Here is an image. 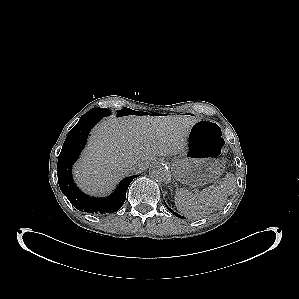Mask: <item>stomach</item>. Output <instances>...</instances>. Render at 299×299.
I'll return each mask as SVG.
<instances>
[{
    "label": "stomach",
    "instance_id": "1",
    "mask_svg": "<svg viewBox=\"0 0 299 299\" xmlns=\"http://www.w3.org/2000/svg\"><path fill=\"white\" fill-rule=\"evenodd\" d=\"M224 153L219 124L199 119L189 131L185 149L172 162L176 180L192 187L214 182L225 168Z\"/></svg>",
    "mask_w": 299,
    "mask_h": 299
}]
</instances>
